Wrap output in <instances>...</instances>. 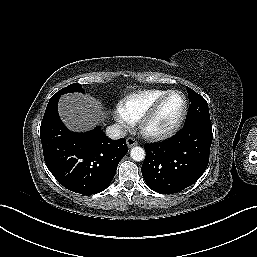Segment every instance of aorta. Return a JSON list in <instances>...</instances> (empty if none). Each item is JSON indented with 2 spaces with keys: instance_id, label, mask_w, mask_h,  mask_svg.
Instances as JSON below:
<instances>
[{
  "instance_id": "762f6f07",
  "label": "aorta",
  "mask_w": 257,
  "mask_h": 257,
  "mask_svg": "<svg viewBox=\"0 0 257 257\" xmlns=\"http://www.w3.org/2000/svg\"><path fill=\"white\" fill-rule=\"evenodd\" d=\"M130 156L135 161H142L145 158V151L143 148L136 146L131 149Z\"/></svg>"
}]
</instances>
